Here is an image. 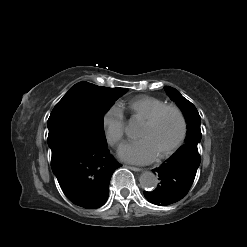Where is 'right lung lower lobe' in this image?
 <instances>
[{"label":"right lung lower lobe","mask_w":247,"mask_h":247,"mask_svg":"<svg viewBox=\"0 0 247 247\" xmlns=\"http://www.w3.org/2000/svg\"><path fill=\"white\" fill-rule=\"evenodd\" d=\"M51 167L59 185L75 205L95 209L105 204L113 172L121 165L106 144L65 127L49 129Z\"/></svg>","instance_id":"obj_1"}]
</instances>
